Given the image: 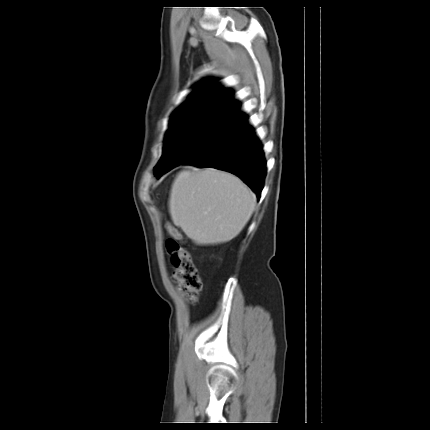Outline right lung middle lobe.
<instances>
[{"label": "right lung middle lobe", "mask_w": 430, "mask_h": 430, "mask_svg": "<svg viewBox=\"0 0 430 430\" xmlns=\"http://www.w3.org/2000/svg\"><path fill=\"white\" fill-rule=\"evenodd\" d=\"M242 118L231 107L220 104L176 111L154 175L159 178L161 174L183 164L231 130Z\"/></svg>", "instance_id": "dd1d6c3e"}]
</instances>
